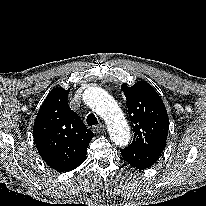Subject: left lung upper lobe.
Here are the masks:
<instances>
[{
	"label": "left lung upper lobe",
	"instance_id": "1",
	"mask_svg": "<svg viewBox=\"0 0 206 206\" xmlns=\"http://www.w3.org/2000/svg\"><path fill=\"white\" fill-rule=\"evenodd\" d=\"M121 89L134 132L133 142L128 147L161 154L169 130L168 114L161 97L144 81L131 87L124 83Z\"/></svg>",
	"mask_w": 206,
	"mask_h": 206
}]
</instances>
